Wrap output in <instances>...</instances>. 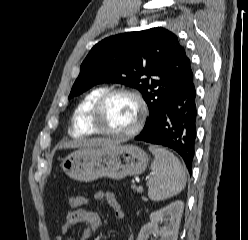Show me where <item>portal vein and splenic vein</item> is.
Instances as JSON below:
<instances>
[{"mask_svg": "<svg viewBox=\"0 0 248 240\" xmlns=\"http://www.w3.org/2000/svg\"><path fill=\"white\" fill-rule=\"evenodd\" d=\"M137 190L142 192L143 191V187L142 186H139V187H137Z\"/></svg>", "mask_w": 248, "mask_h": 240, "instance_id": "portal-vein-and-splenic-vein-1", "label": "portal vein and splenic vein"}]
</instances>
